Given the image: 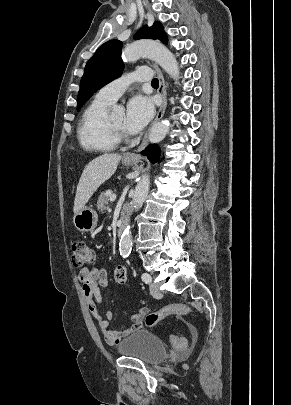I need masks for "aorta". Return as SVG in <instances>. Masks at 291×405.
Wrapping results in <instances>:
<instances>
[{
	"mask_svg": "<svg viewBox=\"0 0 291 405\" xmlns=\"http://www.w3.org/2000/svg\"><path fill=\"white\" fill-rule=\"evenodd\" d=\"M146 56L160 65L167 74L176 82L179 77V67L174 55L160 42L153 40H138L125 47L122 58L125 62H134L140 57ZM169 131V123L158 122L152 126L149 133L151 143L162 141ZM150 188L148 175L140 178L133 195V209L138 210L145 201ZM132 249V233L130 226L123 231L119 244V251L122 257H128Z\"/></svg>",
	"mask_w": 291,
	"mask_h": 405,
	"instance_id": "aorta-1",
	"label": "aorta"
}]
</instances>
